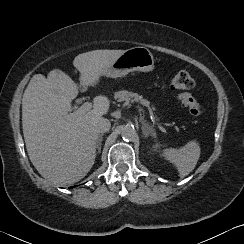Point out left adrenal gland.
Wrapping results in <instances>:
<instances>
[{
	"instance_id": "left-adrenal-gland-1",
	"label": "left adrenal gland",
	"mask_w": 244,
	"mask_h": 244,
	"mask_svg": "<svg viewBox=\"0 0 244 244\" xmlns=\"http://www.w3.org/2000/svg\"><path fill=\"white\" fill-rule=\"evenodd\" d=\"M140 122L142 124V133L145 137L152 136L155 137V131L152 127L149 126L146 120L143 117H140Z\"/></svg>"
}]
</instances>
